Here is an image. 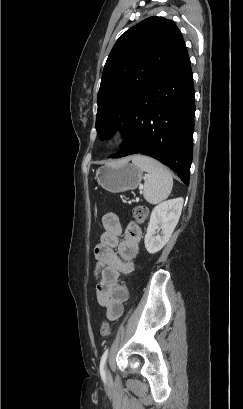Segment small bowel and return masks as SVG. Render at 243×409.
<instances>
[{"label": "small bowel", "mask_w": 243, "mask_h": 409, "mask_svg": "<svg viewBox=\"0 0 243 409\" xmlns=\"http://www.w3.org/2000/svg\"><path fill=\"white\" fill-rule=\"evenodd\" d=\"M104 232L100 243L95 247V275L99 277L96 285L98 304L107 310V318L118 319L123 312V303L128 299L127 287L119 282L120 274L129 275L136 266L142 230L131 223L123 232L117 214L107 212L102 217ZM120 237L122 239L120 240Z\"/></svg>", "instance_id": "small-bowel-1"}]
</instances>
